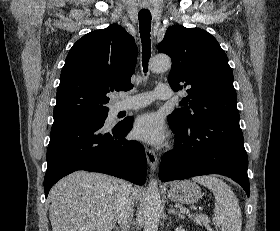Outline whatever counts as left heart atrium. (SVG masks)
Segmentation results:
<instances>
[{"instance_id":"39dd6f15","label":"left heart atrium","mask_w":280,"mask_h":231,"mask_svg":"<svg viewBox=\"0 0 280 231\" xmlns=\"http://www.w3.org/2000/svg\"><path fill=\"white\" fill-rule=\"evenodd\" d=\"M132 135L135 139L152 145L162 144L167 131L162 119L154 113H146L138 116L134 122Z\"/></svg>"}]
</instances>
